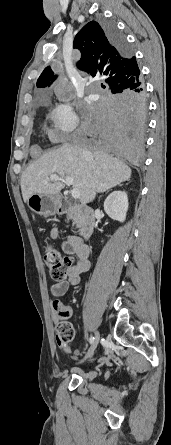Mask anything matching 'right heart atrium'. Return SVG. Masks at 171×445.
I'll return each instance as SVG.
<instances>
[{
    "instance_id": "d8ad5b80",
    "label": "right heart atrium",
    "mask_w": 171,
    "mask_h": 445,
    "mask_svg": "<svg viewBox=\"0 0 171 445\" xmlns=\"http://www.w3.org/2000/svg\"><path fill=\"white\" fill-rule=\"evenodd\" d=\"M50 119L52 122L51 137L56 143L69 140L79 124V116L68 101L57 104L50 113Z\"/></svg>"
}]
</instances>
